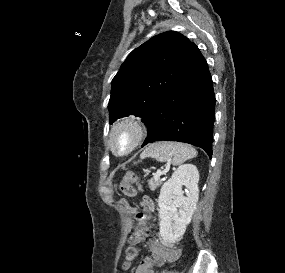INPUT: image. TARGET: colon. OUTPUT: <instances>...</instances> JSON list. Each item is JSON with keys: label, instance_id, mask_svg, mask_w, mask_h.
Masks as SVG:
<instances>
[{"label": "colon", "instance_id": "5ec220e1", "mask_svg": "<svg viewBox=\"0 0 285 273\" xmlns=\"http://www.w3.org/2000/svg\"><path fill=\"white\" fill-rule=\"evenodd\" d=\"M139 188L138 177L132 173L126 174L118 185V191L130 198L137 195ZM138 205L140 206L136 212L138 225L135 232L130 237L129 246L125 250V260L123 262L124 269L129 268L136 259L138 255V245L144 239L149 227V224L147 223L149 215V212L147 211L148 207L142 201H139Z\"/></svg>", "mask_w": 285, "mask_h": 273}]
</instances>
